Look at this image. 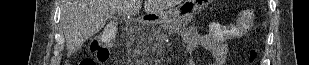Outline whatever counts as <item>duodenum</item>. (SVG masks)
Listing matches in <instances>:
<instances>
[{
    "mask_svg": "<svg viewBox=\"0 0 309 65\" xmlns=\"http://www.w3.org/2000/svg\"><path fill=\"white\" fill-rule=\"evenodd\" d=\"M147 21H148V18H147V17L141 18L140 23L144 24V23H146Z\"/></svg>",
    "mask_w": 309,
    "mask_h": 65,
    "instance_id": "1",
    "label": "duodenum"
}]
</instances>
